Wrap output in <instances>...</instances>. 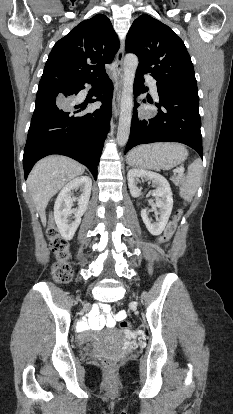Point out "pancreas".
Wrapping results in <instances>:
<instances>
[{
  "instance_id": "pancreas-1",
  "label": "pancreas",
  "mask_w": 233,
  "mask_h": 414,
  "mask_svg": "<svg viewBox=\"0 0 233 414\" xmlns=\"http://www.w3.org/2000/svg\"><path fill=\"white\" fill-rule=\"evenodd\" d=\"M176 181H181L182 180V175H179L178 177L175 178Z\"/></svg>"
}]
</instances>
